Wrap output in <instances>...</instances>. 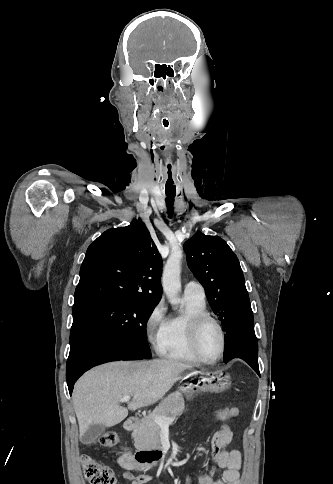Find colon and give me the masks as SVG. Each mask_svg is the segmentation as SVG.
Segmentation results:
<instances>
[{
	"label": "colon",
	"instance_id": "obj_1",
	"mask_svg": "<svg viewBox=\"0 0 333 484\" xmlns=\"http://www.w3.org/2000/svg\"><path fill=\"white\" fill-rule=\"evenodd\" d=\"M211 415L217 420H226L229 416V408H218ZM95 443L103 447H113L119 443V436L116 432H106L98 437ZM81 462L84 476L90 484L115 483V474L110 467L98 463L87 455L82 456Z\"/></svg>",
	"mask_w": 333,
	"mask_h": 484
}]
</instances>
